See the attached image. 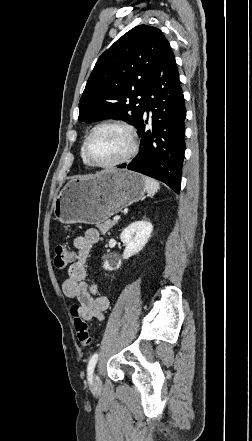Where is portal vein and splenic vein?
Segmentation results:
<instances>
[{
	"label": "portal vein and splenic vein",
	"mask_w": 252,
	"mask_h": 441,
	"mask_svg": "<svg viewBox=\"0 0 252 441\" xmlns=\"http://www.w3.org/2000/svg\"><path fill=\"white\" fill-rule=\"evenodd\" d=\"M113 220H114V221H118V220H120V216H115V217L113 218Z\"/></svg>",
	"instance_id": "portal-vein-and-splenic-vein-1"
}]
</instances>
